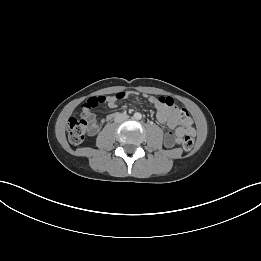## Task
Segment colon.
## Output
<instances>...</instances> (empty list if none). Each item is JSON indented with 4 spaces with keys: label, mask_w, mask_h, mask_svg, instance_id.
I'll list each match as a JSON object with an SVG mask.
<instances>
[{
    "label": "colon",
    "mask_w": 261,
    "mask_h": 261,
    "mask_svg": "<svg viewBox=\"0 0 261 261\" xmlns=\"http://www.w3.org/2000/svg\"><path fill=\"white\" fill-rule=\"evenodd\" d=\"M127 97L125 92L117 93L113 96L115 100H122ZM107 97H93L83 104V112L80 118H71L68 122L67 131L68 138L72 144H80L83 142L86 134L90 130V110L98 104L104 103ZM161 101L173 105V100L169 97H160ZM175 114L178 120L185 121L188 119V112L185 109L177 108ZM194 146V138L192 135H186L182 142V147L185 152H190Z\"/></svg>",
    "instance_id": "5ec220e1"
}]
</instances>
